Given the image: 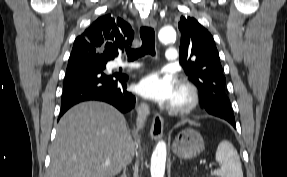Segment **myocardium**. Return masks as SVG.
I'll list each match as a JSON object with an SVG mask.
<instances>
[{"label":"myocardium","instance_id":"obj_1","mask_svg":"<svg viewBox=\"0 0 287 177\" xmlns=\"http://www.w3.org/2000/svg\"><path fill=\"white\" fill-rule=\"evenodd\" d=\"M180 99L171 102L168 109L174 114H184L193 110L199 104V93L189 82H181L177 88Z\"/></svg>","mask_w":287,"mask_h":177}]
</instances>
